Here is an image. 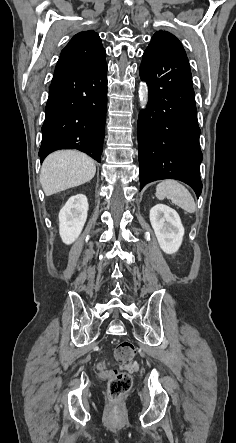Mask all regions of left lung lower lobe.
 Here are the masks:
<instances>
[{
  "mask_svg": "<svg viewBox=\"0 0 236 443\" xmlns=\"http://www.w3.org/2000/svg\"><path fill=\"white\" fill-rule=\"evenodd\" d=\"M140 77L149 88L147 109L137 123L140 189L176 179L201 194L200 128L187 56L146 49Z\"/></svg>",
  "mask_w": 236,
  "mask_h": 443,
  "instance_id": "0a47b994",
  "label": "left lung lower lobe"
}]
</instances>
